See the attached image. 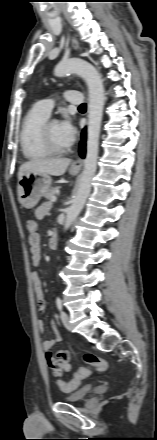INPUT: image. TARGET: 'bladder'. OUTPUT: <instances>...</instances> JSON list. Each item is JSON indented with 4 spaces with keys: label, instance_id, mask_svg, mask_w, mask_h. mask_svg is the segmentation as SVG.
<instances>
[{
    "label": "bladder",
    "instance_id": "31cf9c89",
    "mask_svg": "<svg viewBox=\"0 0 157 440\" xmlns=\"http://www.w3.org/2000/svg\"><path fill=\"white\" fill-rule=\"evenodd\" d=\"M92 392L91 386H85L63 396L65 402L78 403L84 401Z\"/></svg>",
    "mask_w": 157,
    "mask_h": 440
}]
</instances>
